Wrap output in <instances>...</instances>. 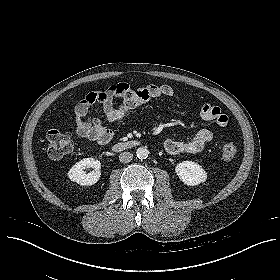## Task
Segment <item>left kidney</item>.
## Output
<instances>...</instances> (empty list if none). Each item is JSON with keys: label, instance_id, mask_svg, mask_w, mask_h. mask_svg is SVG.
I'll return each mask as SVG.
<instances>
[{"label": "left kidney", "instance_id": "left-kidney-1", "mask_svg": "<svg viewBox=\"0 0 280 280\" xmlns=\"http://www.w3.org/2000/svg\"><path fill=\"white\" fill-rule=\"evenodd\" d=\"M175 172L180 180L188 186H196L207 179L206 171L193 161H183L177 164Z\"/></svg>", "mask_w": 280, "mask_h": 280}]
</instances>
